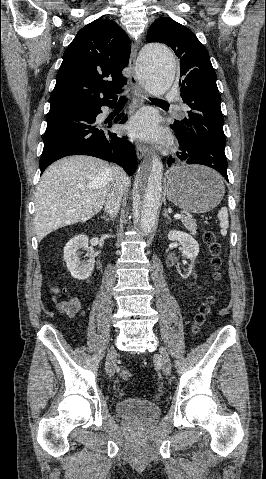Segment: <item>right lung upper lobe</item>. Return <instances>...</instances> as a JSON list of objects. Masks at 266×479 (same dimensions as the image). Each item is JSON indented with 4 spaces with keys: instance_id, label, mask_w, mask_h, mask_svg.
<instances>
[{
    "instance_id": "1",
    "label": "right lung upper lobe",
    "mask_w": 266,
    "mask_h": 479,
    "mask_svg": "<svg viewBox=\"0 0 266 479\" xmlns=\"http://www.w3.org/2000/svg\"><path fill=\"white\" fill-rule=\"evenodd\" d=\"M130 51V40L116 22L100 18L83 27L63 54L50 109L117 98L127 82L122 70Z\"/></svg>"
}]
</instances>
